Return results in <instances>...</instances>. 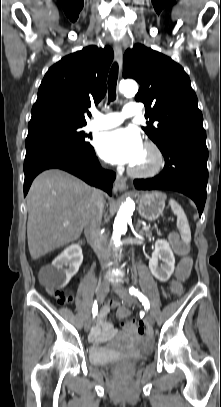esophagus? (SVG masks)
I'll return each mask as SVG.
<instances>
[{"label": "esophagus", "instance_id": "1", "mask_svg": "<svg viewBox=\"0 0 221 407\" xmlns=\"http://www.w3.org/2000/svg\"><path fill=\"white\" fill-rule=\"evenodd\" d=\"M114 52H115V58L119 64V70L120 73L122 71V62H123V51L121 44L116 41L114 43ZM114 187L120 192L126 191L127 190V184H126V179L124 177H121L117 175L115 182H114Z\"/></svg>", "mask_w": 221, "mask_h": 407}]
</instances>
